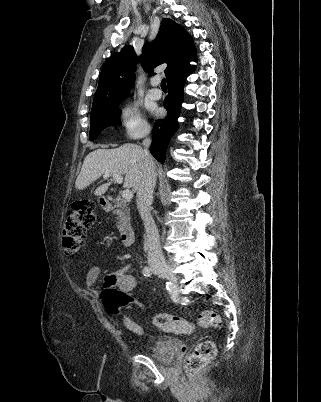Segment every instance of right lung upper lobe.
<instances>
[{"label":"right lung upper lobe","mask_w":321,"mask_h":402,"mask_svg":"<svg viewBox=\"0 0 321 402\" xmlns=\"http://www.w3.org/2000/svg\"><path fill=\"white\" fill-rule=\"evenodd\" d=\"M195 53L192 37L182 26L166 18L161 23L156 39L143 46L139 61L150 75H154L156 66L167 63L165 74L168 82L192 69L189 62L196 61ZM134 63V49L129 45L110 56L100 73L92 108L126 97L128 88L135 81Z\"/></svg>","instance_id":"cb5924a9"}]
</instances>
